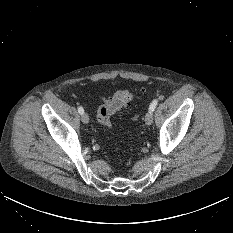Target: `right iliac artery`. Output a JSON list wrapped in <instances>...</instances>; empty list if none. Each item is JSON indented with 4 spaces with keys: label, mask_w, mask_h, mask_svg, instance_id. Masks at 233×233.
I'll use <instances>...</instances> for the list:
<instances>
[{
    "label": "right iliac artery",
    "mask_w": 233,
    "mask_h": 233,
    "mask_svg": "<svg viewBox=\"0 0 233 233\" xmlns=\"http://www.w3.org/2000/svg\"><path fill=\"white\" fill-rule=\"evenodd\" d=\"M78 112H79L80 114H83V113H84V109L80 106V107H78Z\"/></svg>",
    "instance_id": "1"
}]
</instances>
